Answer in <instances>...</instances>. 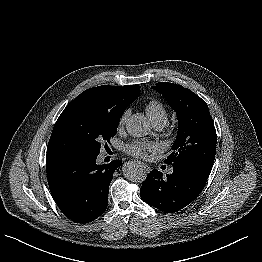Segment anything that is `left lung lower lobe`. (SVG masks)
<instances>
[{
  "label": "left lung lower lobe",
  "instance_id": "1",
  "mask_svg": "<svg viewBox=\"0 0 262 262\" xmlns=\"http://www.w3.org/2000/svg\"><path fill=\"white\" fill-rule=\"evenodd\" d=\"M209 174L200 170L173 168L172 174L163 177L160 171L153 170L143 182L140 195L154 208L174 213L198 197Z\"/></svg>",
  "mask_w": 262,
  "mask_h": 262
}]
</instances>
